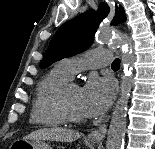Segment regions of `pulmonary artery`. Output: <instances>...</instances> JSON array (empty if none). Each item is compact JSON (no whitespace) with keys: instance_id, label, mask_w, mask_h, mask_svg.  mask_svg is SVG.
I'll return each instance as SVG.
<instances>
[{"instance_id":"pulmonary-artery-1","label":"pulmonary artery","mask_w":155,"mask_h":149,"mask_svg":"<svg viewBox=\"0 0 155 149\" xmlns=\"http://www.w3.org/2000/svg\"><path fill=\"white\" fill-rule=\"evenodd\" d=\"M112 53L109 49H92L83 54L72 56L58 63L60 69L70 78L85 69L107 66L111 63Z\"/></svg>"}]
</instances>
